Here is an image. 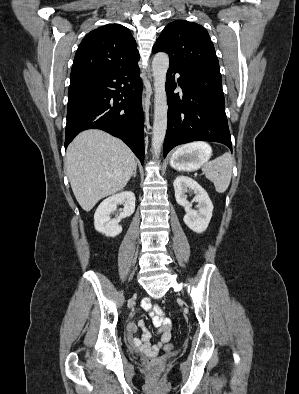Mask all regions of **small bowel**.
Here are the masks:
<instances>
[{"label": "small bowel", "instance_id": "obj_1", "mask_svg": "<svg viewBox=\"0 0 299 394\" xmlns=\"http://www.w3.org/2000/svg\"><path fill=\"white\" fill-rule=\"evenodd\" d=\"M141 308L149 312L152 323L157 328L159 341L151 345L149 342L151 337L150 332L144 321H139L138 323L131 322L128 325L129 343L135 350L147 356H155L171 339V320L164 315L159 305L152 303L150 299L143 300ZM138 328L141 330L140 337L136 336Z\"/></svg>", "mask_w": 299, "mask_h": 394}]
</instances>
